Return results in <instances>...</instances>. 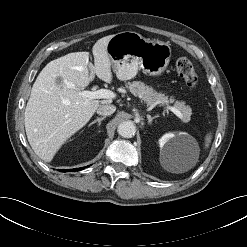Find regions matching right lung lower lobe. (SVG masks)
<instances>
[{"label": "right lung lower lobe", "mask_w": 247, "mask_h": 247, "mask_svg": "<svg viewBox=\"0 0 247 247\" xmlns=\"http://www.w3.org/2000/svg\"><path fill=\"white\" fill-rule=\"evenodd\" d=\"M85 167H81V168H78V169H72V170H60V171H63V172H66V171H79V170H83Z\"/></svg>", "instance_id": "obj_1"}]
</instances>
